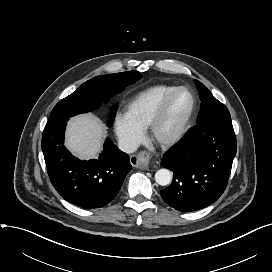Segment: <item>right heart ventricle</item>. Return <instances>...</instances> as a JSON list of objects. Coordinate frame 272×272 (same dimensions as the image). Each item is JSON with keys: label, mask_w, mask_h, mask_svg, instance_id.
<instances>
[{"label": "right heart ventricle", "mask_w": 272, "mask_h": 272, "mask_svg": "<svg viewBox=\"0 0 272 272\" xmlns=\"http://www.w3.org/2000/svg\"><path fill=\"white\" fill-rule=\"evenodd\" d=\"M172 84H159L139 92L127 105L126 114L143 130L147 129L164 99L177 88Z\"/></svg>", "instance_id": "obj_1"}]
</instances>
